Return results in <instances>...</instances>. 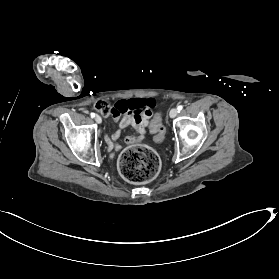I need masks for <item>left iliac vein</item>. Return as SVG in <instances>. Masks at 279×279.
Segmentation results:
<instances>
[{
    "label": "left iliac vein",
    "mask_w": 279,
    "mask_h": 279,
    "mask_svg": "<svg viewBox=\"0 0 279 279\" xmlns=\"http://www.w3.org/2000/svg\"><path fill=\"white\" fill-rule=\"evenodd\" d=\"M177 114H178V110L176 108H172L169 112V115H170L171 118L176 117Z\"/></svg>",
    "instance_id": "1"
}]
</instances>
